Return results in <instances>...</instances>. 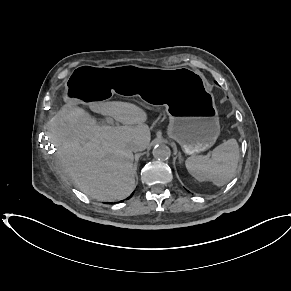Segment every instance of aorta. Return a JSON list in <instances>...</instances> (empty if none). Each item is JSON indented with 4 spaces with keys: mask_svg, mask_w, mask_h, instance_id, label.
<instances>
[{
    "mask_svg": "<svg viewBox=\"0 0 291 291\" xmlns=\"http://www.w3.org/2000/svg\"><path fill=\"white\" fill-rule=\"evenodd\" d=\"M153 156L158 160H168L171 156V150L167 145H158L153 149Z\"/></svg>",
    "mask_w": 291,
    "mask_h": 291,
    "instance_id": "obj_1",
    "label": "aorta"
}]
</instances>
